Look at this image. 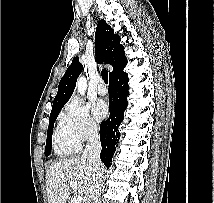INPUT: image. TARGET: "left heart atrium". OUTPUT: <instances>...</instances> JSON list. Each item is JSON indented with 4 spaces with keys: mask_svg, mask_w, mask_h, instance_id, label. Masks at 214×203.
<instances>
[{
    "mask_svg": "<svg viewBox=\"0 0 214 203\" xmlns=\"http://www.w3.org/2000/svg\"><path fill=\"white\" fill-rule=\"evenodd\" d=\"M93 113L97 119H103L108 113L107 105L104 101L100 100L93 106Z\"/></svg>",
    "mask_w": 214,
    "mask_h": 203,
    "instance_id": "39dd6f15",
    "label": "left heart atrium"
}]
</instances>
